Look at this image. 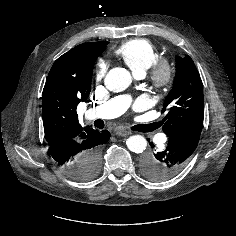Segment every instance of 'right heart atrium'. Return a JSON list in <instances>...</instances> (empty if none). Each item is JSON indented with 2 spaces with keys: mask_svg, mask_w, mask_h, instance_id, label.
<instances>
[{
  "mask_svg": "<svg viewBox=\"0 0 236 236\" xmlns=\"http://www.w3.org/2000/svg\"><path fill=\"white\" fill-rule=\"evenodd\" d=\"M106 71H107V63L102 59L98 60L94 70V77L96 81H100L104 77Z\"/></svg>",
  "mask_w": 236,
  "mask_h": 236,
  "instance_id": "d8ad5b80",
  "label": "right heart atrium"
}]
</instances>
